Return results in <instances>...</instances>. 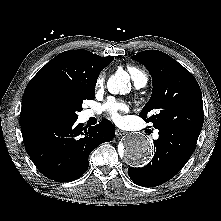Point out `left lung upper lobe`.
Returning a JSON list of instances; mask_svg holds the SVG:
<instances>
[{"label": "left lung upper lobe", "mask_w": 221, "mask_h": 221, "mask_svg": "<svg viewBox=\"0 0 221 221\" xmlns=\"http://www.w3.org/2000/svg\"><path fill=\"white\" fill-rule=\"evenodd\" d=\"M131 58L142 63L153 79L151 98L140 117L158 130L173 129L198 138L204 112L202 93L194 76L158 50L142 51ZM152 111L156 113L148 117Z\"/></svg>", "instance_id": "left-lung-upper-lobe-1"}]
</instances>
